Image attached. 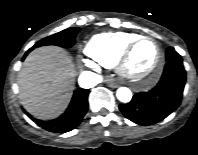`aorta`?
Masks as SVG:
<instances>
[{
  "instance_id": "aorta-1",
  "label": "aorta",
  "mask_w": 198,
  "mask_h": 155,
  "mask_svg": "<svg viewBox=\"0 0 198 155\" xmlns=\"http://www.w3.org/2000/svg\"><path fill=\"white\" fill-rule=\"evenodd\" d=\"M116 96L119 101L123 103H128L132 99V92L127 87H120L116 91Z\"/></svg>"
}]
</instances>
